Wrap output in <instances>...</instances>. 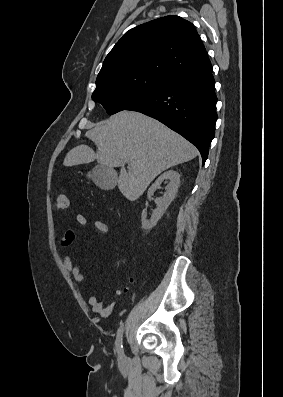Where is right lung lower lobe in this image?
Instances as JSON below:
<instances>
[{
    "label": "right lung lower lobe",
    "mask_w": 283,
    "mask_h": 397,
    "mask_svg": "<svg viewBox=\"0 0 283 397\" xmlns=\"http://www.w3.org/2000/svg\"><path fill=\"white\" fill-rule=\"evenodd\" d=\"M214 85L209 63L172 77L126 110L153 117L182 135L198 148L205 163L218 118Z\"/></svg>",
    "instance_id": "right-lung-lower-lobe-1"
}]
</instances>
